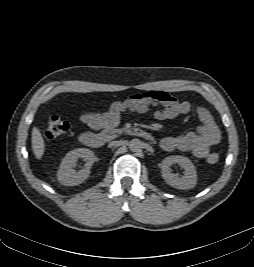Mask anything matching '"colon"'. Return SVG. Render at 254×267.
I'll use <instances>...</instances> for the list:
<instances>
[{
  "instance_id": "1",
  "label": "colon",
  "mask_w": 254,
  "mask_h": 267,
  "mask_svg": "<svg viewBox=\"0 0 254 267\" xmlns=\"http://www.w3.org/2000/svg\"><path fill=\"white\" fill-rule=\"evenodd\" d=\"M69 128V123L63 120L60 116H52L45 129L44 135L47 139H56L66 134ZM219 159L217 153H210L207 155L205 162L209 165H214L219 162Z\"/></svg>"
}]
</instances>
